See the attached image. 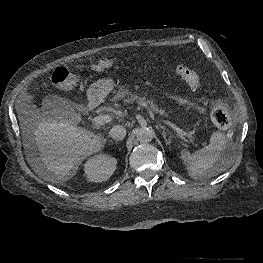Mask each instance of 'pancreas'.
<instances>
[{
    "instance_id": "1",
    "label": "pancreas",
    "mask_w": 263,
    "mask_h": 263,
    "mask_svg": "<svg viewBox=\"0 0 263 263\" xmlns=\"http://www.w3.org/2000/svg\"><path fill=\"white\" fill-rule=\"evenodd\" d=\"M117 96L119 98H122L125 103H131V102H135L136 101V102H138L141 105L149 106L153 112L163 113V111L159 110L157 105L153 101L148 100L145 97L134 95L131 92H129L128 90L121 89L117 93Z\"/></svg>"
}]
</instances>
